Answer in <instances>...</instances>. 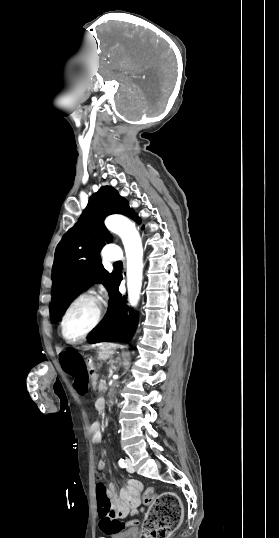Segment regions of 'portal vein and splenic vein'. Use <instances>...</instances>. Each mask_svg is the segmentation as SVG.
I'll return each mask as SVG.
<instances>
[{
  "label": "portal vein and splenic vein",
  "mask_w": 279,
  "mask_h": 538,
  "mask_svg": "<svg viewBox=\"0 0 279 538\" xmlns=\"http://www.w3.org/2000/svg\"><path fill=\"white\" fill-rule=\"evenodd\" d=\"M102 383H108V380H102Z\"/></svg>",
  "instance_id": "18ae733b"
}]
</instances>
